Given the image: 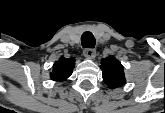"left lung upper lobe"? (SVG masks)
Segmentation results:
<instances>
[{"label":"left lung upper lobe","instance_id":"1","mask_svg":"<svg viewBox=\"0 0 165 113\" xmlns=\"http://www.w3.org/2000/svg\"><path fill=\"white\" fill-rule=\"evenodd\" d=\"M101 69L104 82L111 88L125 84L122 64L114 57L109 56L101 60Z\"/></svg>","mask_w":165,"mask_h":113}]
</instances>
